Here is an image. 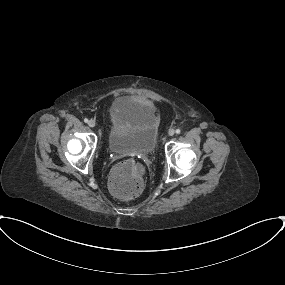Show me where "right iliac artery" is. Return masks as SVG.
<instances>
[{
    "mask_svg": "<svg viewBox=\"0 0 285 285\" xmlns=\"http://www.w3.org/2000/svg\"><path fill=\"white\" fill-rule=\"evenodd\" d=\"M84 122H85V123H88V119H87V118H85V119H84Z\"/></svg>",
    "mask_w": 285,
    "mask_h": 285,
    "instance_id": "obj_1",
    "label": "right iliac artery"
}]
</instances>
